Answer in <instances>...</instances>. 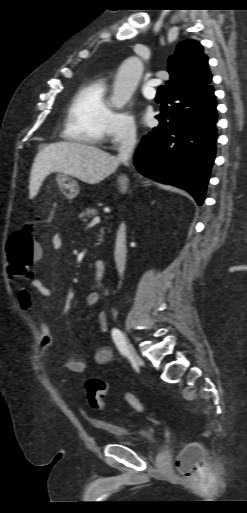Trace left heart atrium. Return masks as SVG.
<instances>
[{
	"label": "left heart atrium",
	"mask_w": 247,
	"mask_h": 513,
	"mask_svg": "<svg viewBox=\"0 0 247 513\" xmlns=\"http://www.w3.org/2000/svg\"><path fill=\"white\" fill-rule=\"evenodd\" d=\"M152 116H153V114L151 111H149V110L145 111L142 115L143 122L150 123L152 121Z\"/></svg>",
	"instance_id": "obj_1"
}]
</instances>
